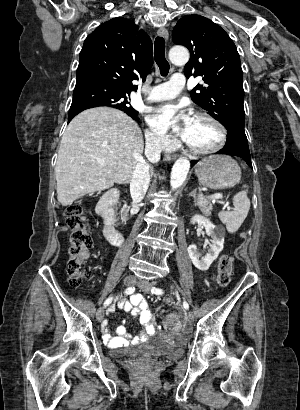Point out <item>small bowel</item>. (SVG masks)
<instances>
[{"label": "small bowel", "mask_w": 300, "mask_h": 410, "mask_svg": "<svg viewBox=\"0 0 300 410\" xmlns=\"http://www.w3.org/2000/svg\"><path fill=\"white\" fill-rule=\"evenodd\" d=\"M116 308L122 309L125 312H129L141 323L143 329L140 333L131 337L124 325L117 327L115 334H111L106 325L103 328L104 341L110 347H119L127 345L129 343H139L145 341L149 336L156 333V325L154 323V316L148 309V303L141 294H134L129 300H123L117 303V305H111L108 309L109 313H112Z\"/></svg>", "instance_id": "obj_1"}]
</instances>
